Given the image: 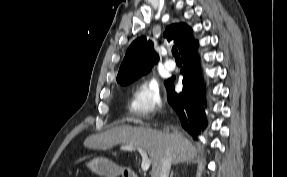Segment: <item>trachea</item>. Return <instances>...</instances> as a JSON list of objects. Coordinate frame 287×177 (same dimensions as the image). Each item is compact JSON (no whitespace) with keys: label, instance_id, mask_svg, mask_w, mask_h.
<instances>
[{"label":"trachea","instance_id":"obj_1","mask_svg":"<svg viewBox=\"0 0 287 177\" xmlns=\"http://www.w3.org/2000/svg\"><path fill=\"white\" fill-rule=\"evenodd\" d=\"M172 54L175 57L176 61H181L180 55L178 53L177 47L172 48Z\"/></svg>","mask_w":287,"mask_h":177}]
</instances>
